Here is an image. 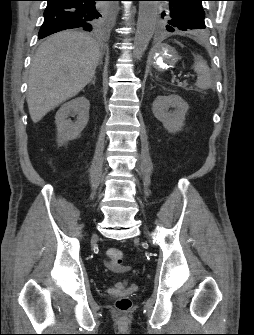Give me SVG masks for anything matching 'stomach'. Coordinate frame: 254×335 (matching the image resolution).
I'll return each mask as SVG.
<instances>
[{
	"label": "stomach",
	"mask_w": 254,
	"mask_h": 335,
	"mask_svg": "<svg viewBox=\"0 0 254 335\" xmlns=\"http://www.w3.org/2000/svg\"><path fill=\"white\" fill-rule=\"evenodd\" d=\"M178 60L179 55L177 51L166 44L157 46L150 57L151 65L158 71L173 68Z\"/></svg>",
	"instance_id": "0dacf381"
}]
</instances>
